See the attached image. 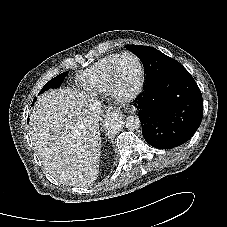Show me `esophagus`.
<instances>
[{
    "instance_id": "1",
    "label": "esophagus",
    "mask_w": 227,
    "mask_h": 227,
    "mask_svg": "<svg viewBox=\"0 0 227 227\" xmlns=\"http://www.w3.org/2000/svg\"><path fill=\"white\" fill-rule=\"evenodd\" d=\"M115 115L116 117H122L121 111L119 109H115L113 107L110 108V110L107 112V116Z\"/></svg>"
}]
</instances>
